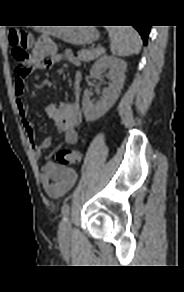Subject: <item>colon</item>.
I'll list each match as a JSON object with an SVG mask.
<instances>
[{
	"instance_id": "obj_1",
	"label": "colon",
	"mask_w": 184,
	"mask_h": 292,
	"mask_svg": "<svg viewBox=\"0 0 184 292\" xmlns=\"http://www.w3.org/2000/svg\"><path fill=\"white\" fill-rule=\"evenodd\" d=\"M11 53L15 60V72L19 74L28 73L30 70L29 56L27 48L31 42V37L24 31L13 29L9 34ZM55 45L46 36L40 37L34 47V56L37 60H42L53 54ZM81 153L77 150L61 149L56 153L58 164L68 166L79 162Z\"/></svg>"
}]
</instances>
